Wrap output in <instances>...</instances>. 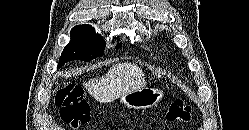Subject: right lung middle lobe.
<instances>
[{
  "mask_svg": "<svg viewBox=\"0 0 249 130\" xmlns=\"http://www.w3.org/2000/svg\"><path fill=\"white\" fill-rule=\"evenodd\" d=\"M122 43L116 45L120 48ZM105 42L103 38L96 34L90 25H78L71 30V41L64 48L59 59L58 67L63 66L71 60H82L90 62L104 53Z\"/></svg>",
  "mask_w": 249,
  "mask_h": 130,
  "instance_id": "obj_1",
  "label": "right lung middle lobe"
}]
</instances>
